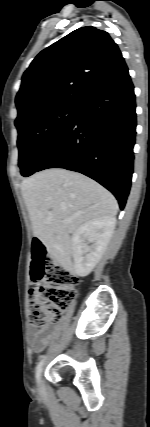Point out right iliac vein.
Returning a JSON list of instances; mask_svg holds the SVG:
<instances>
[{
	"label": "right iliac vein",
	"mask_w": 150,
	"mask_h": 427,
	"mask_svg": "<svg viewBox=\"0 0 150 427\" xmlns=\"http://www.w3.org/2000/svg\"><path fill=\"white\" fill-rule=\"evenodd\" d=\"M38 383H39V387L41 389V380L40 379H39Z\"/></svg>",
	"instance_id": "1"
}]
</instances>
